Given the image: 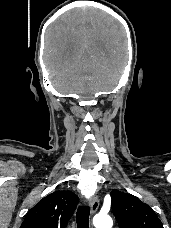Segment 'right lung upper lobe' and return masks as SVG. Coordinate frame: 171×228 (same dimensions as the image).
<instances>
[{"label":"right lung upper lobe","mask_w":171,"mask_h":228,"mask_svg":"<svg viewBox=\"0 0 171 228\" xmlns=\"http://www.w3.org/2000/svg\"><path fill=\"white\" fill-rule=\"evenodd\" d=\"M78 201L71 191L51 193L30 209L20 228H65Z\"/></svg>","instance_id":"obj_1"}]
</instances>
